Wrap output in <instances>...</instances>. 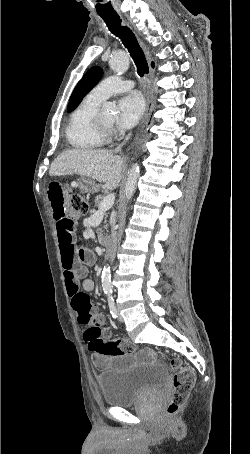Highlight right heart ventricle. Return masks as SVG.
I'll return each mask as SVG.
<instances>
[{
	"label": "right heart ventricle",
	"instance_id": "1",
	"mask_svg": "<svg viewBox=\"0 0 250 454\" xmlns=\"http://www.w3.org/2000/svg\"><path fill=\"white\" fill-rule=\"evenodd\" d=\"M100 104L101 102L87 96L71 113L66 139L73 149L91 150L104 143L94 124Z\"/></svg>",
	"mask_w": 250,
	"mask_h": 454
}]
</instances>
